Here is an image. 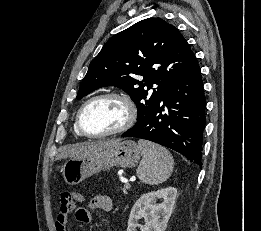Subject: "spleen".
<instances>
[{
    "label": "spleen",
    "instance_id": "obj_1",
    "mask_svg": "<svg viewBox=\"0 0 261 231\" xmlns=\"http://www.w3.org/2000/svg\"><path fill=\"white\" fill-rule=\"evenodd\" d=\"M138 146L143 155L136 171L138 178L149 185L165 182L174 168V160L170 152L166 148L146 140H139Z\"/></svg>",
    "mask_w": 261,
    "mask_h": 231
}]
</instances>
